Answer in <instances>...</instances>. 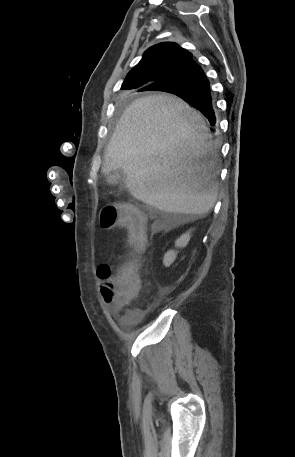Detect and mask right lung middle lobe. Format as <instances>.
<instances>
[{
  "instance_id": "right-lung-middle-lobe-1",
  "label": "right lung middle lobe",
  "mask_w": 295,
  "mask_h": 457,
  "mask_svg": "<svg viewBox=\"0 0 295 457\" xmlns=\"http://www.w3.org/2000/svg\"><path fill=\"white\" fill-rule=\"evenodd\" d=\"M163 91H166V92H169V93H174L175 92L174 90H163Z\"/></svg>"
}]
</instances>
